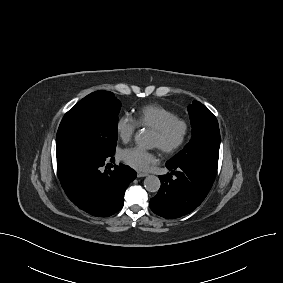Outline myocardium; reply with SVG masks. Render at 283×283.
I'll list each match as a JSON object with an SVG mask.
<instances>
[{"label":"myocardium","mask_w":283,"mask_h":283,"mask_svg":"<svg viewBox=\"0 0 283 283\" xmlns=\"http://www.w3.org/2000/svg\"><path fill=\"white\" fill-rule=\"evenodd\" d=\"M175 128L180 129V134L177 140L170 144H165L159 147L160 150L165 154H173L183 147L189 135V123L186 119L176 116L165 122L158 129L154 130V132L162 140H166Z\"/></svg>","instance_id":"1"}]
</instances>
